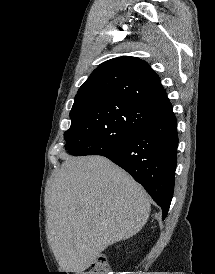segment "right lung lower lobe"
I'll use <instances>...</instances> for the list:
<instances>
[{
    "mask_svg": "<svg viewBox=\"0 0 215 274\" xmlns=\"http://www.w3.org/2000/svg\"><path fill=\"white\" fill-rule=\"evenodd\" d=\"M177 120L172 109L156 114L124 142L97 155L126 170L167 216L177 164Z\"/></svg>",
    "mask_w": 215,
    "mask_h": 274,
    "instance_id": "1",
    "label": "right lung lower lobe"
}]
</instances>
